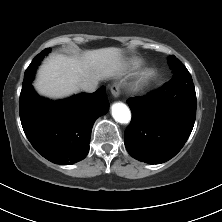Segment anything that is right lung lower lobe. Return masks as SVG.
I'll use <instances>...</instances> for the list:
<instances>
[{"instance_id":"right-lung-lower-lobe-1","label":"right lung lower lobe","mask_w":222,"mask_h":222,"mask_svg":"<svg viewBox=\"0 0 222 222\" xmlns=\"http://www.w3.org/2000/svg\"><path fill=\"white\" fill-rule=\"evenodd\" d=\"M108 108L104 86L52 102L39 97L28 83L19 100L21 124L32 146L47 160L64 165L85 158L93 122Z\"/></svg>"}]
</instances>
